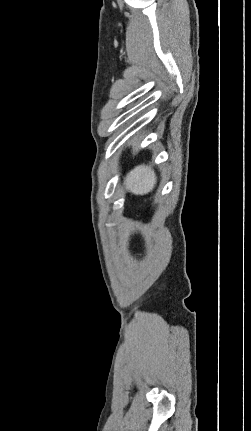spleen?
<instances>
[{
    "instance_id": "3e777b00",
    "label": "spleen",
    "mask_w": 251,
    "mask_h": 431,
    "mask_svg": "<svg viewBox=\"0 0 251 431\" xmlns=\"http://www.w3.org/2000/svg\"><path fill=\"white\" fill-rule=\"evenodd\" d=\"M125 184L130 192L144 195L153 190L156 184V175L150 167L139 165L127 175Z\"/></svg>"
}]
</instances>
